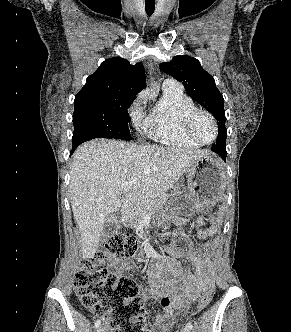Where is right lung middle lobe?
I'll return each mask as SVG.
<instances>
[{
	"label": "right lung middle lobe",
	"mask_w": 291,
	"mask_h": 332,
	"mask_svg": "<svg viewBox=\"0 0 291 332\" xmlns=\"http://www.w3.org/2000/svg\"><path fill=\"white\" fill-rule=\"evenodd\" d=\"M132 101L126 96L75 99L72 141L79 145L100 137L131 140L127 110Z\"/></svg>",
	"instance_id": "dd1d6c3e"
}]
</instances>
